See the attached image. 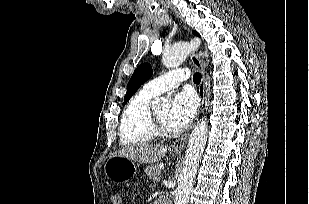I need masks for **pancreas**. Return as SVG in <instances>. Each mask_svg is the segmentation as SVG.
Instances as JSON below:
<instances>
[{"instance_id": "obj_1", "label": "pancreas", "mask_w": 309, "mask_h": 204, "mask_svg": "<svg viewBox=\"0 0 309 204\" xmlns=\"http://www.w3.org/2000/svg\"><path fill=\"white\" fill-rule=\"evenodd\" d=\"M160 167L159 165H151L146 167L145 173L152 179L153 181H159L160 179Z\"/></svg>"}]
</instances>
